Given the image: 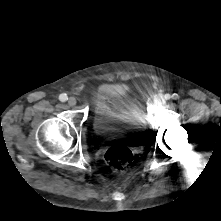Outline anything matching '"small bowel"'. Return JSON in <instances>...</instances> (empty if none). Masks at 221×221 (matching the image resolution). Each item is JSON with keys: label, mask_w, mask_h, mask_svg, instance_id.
Here are the masks:
<instances>
[{"label": "small bowel", "mask_w": 221, "mask_h": 221, "mask_svg": "<svg viewBox=\"0 0 221 221\" xmlns=\"http://www.w3.org/2000/svg\"><path fill=\"white\" fill-rule=\"evenodd\" d=\"M104 103H105V104H107L106 102H104ZM96 104L101 105V103H100V102H98V101L96 102Z\"/></svg>", "instance_id": "1"}]
</instances>
